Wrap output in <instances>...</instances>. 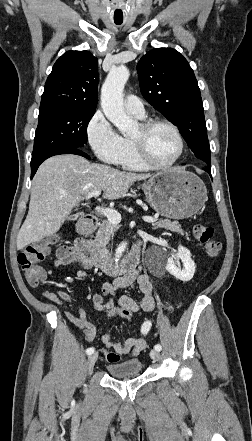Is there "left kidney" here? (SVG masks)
<instances>
[{
	"mask_svg": "<svg viewBox=\"0 0 252 441\" xmlns=\"http://www.w3.org/2000/svg\"><path fill=\"white\" fill-rule=\"evenodd\" d=\"M179 259L183 262V269L176 263ZM166 270L178 280L183 282L190 281L196 270L190 251L180 245L177 254L167 259Z\"/></svg>",
	"mask_w": 252,
	"mask_h": 441,
	"instance_id": "1",
	"label": "left kidney"
}]
</instances>
